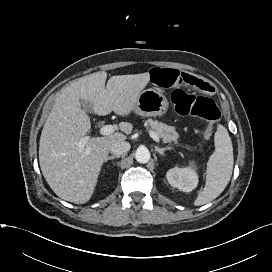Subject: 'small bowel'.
Masks as SVG:
<instances>
[{
    "mask_svg": "<svg viewBox=\"0 0 272 272\" xmlns=\"http://www.w3.org/2000/svg\"><path fill=\"white\" fill-rule=\"evenodd\" d=\"M151 81L162 88L191 87L200 91H210L212 86L192 75L171 68H154L150 72Z\"/></svg>",
    "mask_w": 272,
    "mask_h": 272,
    "instance_id": "c3829d8e",
    "label": "small bowel"
}]
</instances>
